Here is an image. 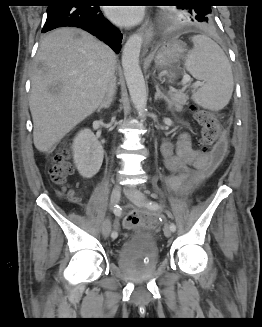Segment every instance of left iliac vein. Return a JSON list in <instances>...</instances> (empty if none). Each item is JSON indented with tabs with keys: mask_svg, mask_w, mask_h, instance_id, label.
Returning a JSON list of instances; mask_svg holds the SVG:
<instances>
[{
	"mask_svg": "<svg viewBox=\"0 0 262 327\" xmlns=\"http://www.w3.org/2000/svg\"><path fill=\"white\" fill-rule=\"evenodd\" d=\"M125 194L133 203H135L138 206H143L147 199L146 196L141 191L135 188L126 189ZM163 231L166 237L171 236L172 231L168 225L164 226Z\"/></svg>",
	"mask_w": 262,
	"mask_h": 327,
	"instance_id": "1",
	"label": "left iliac vein"
}]
</instances>
